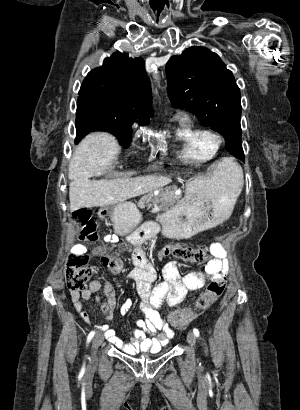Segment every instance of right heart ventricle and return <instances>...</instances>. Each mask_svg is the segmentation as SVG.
I'll return each mask as SVG.
<instances>
[{
	"label": "right heart ventricle",
	"instance_id": "obj_1",
	"mask_svg": "<svg viewBox=\"0 0 300 410\" xmlns=\"http://www.w3.org/2000/svg\"><path fill=\"white\" fill-rule=\"evenodd\" d=\"M210 131L197 126L188 117H182L174 136L179 143L177 155L187 162H204L213 158L217 152L209 140Z\"/></svg>",
	"mask_w": 300,
	"mask_h": 410
}]
</instances>
